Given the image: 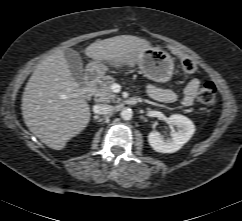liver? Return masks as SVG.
<instances>
[{"label":"liver","mask_w":242,"mask_h":221,"mask_svg":"<svg viewBox=\"0 0 242 221\" xmlns=\"http://www.w3.org/2000/svg\"><path fill=\"white\" fill-rule=\"evenodd\" d=\"M149 47L151 44L145 39L120 35L90 44L85 54L94 60L113 61ZM22 115L28 129L54 150H62L89 123L90 107L62 50L36 66L22 96Z\"/></svg>","instance_id":"obj_1"}]
</instances>
